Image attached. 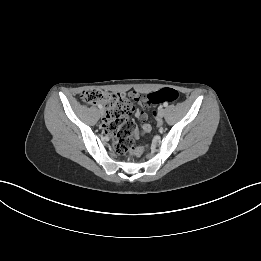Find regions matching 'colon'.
Wrapping results in <instances>:
<instances>
[{
	"label": "colon",
	"instance_id": "1",
	"mask_svg": "<svg viewBox=\"0 0 261 261\" xmlns=\"http://www.w3.org/2000/svg\"><path fill=\"white\" fill-rule=\"evenodd\" d=\"M146 97L150 103L175 102L179 98V93L172 88H164ZM82 99L87 104L104 103L106 121L103 127L113 136L115 148L119 153L137 155L143 151V149L136 147L134 143L137 129L134 122L129 119L133 105L126 97L118 93H108L91 88L83 92Z\"/></svg>",
	"mask_w": 261,
	"mask_h": 261
}]
</instances>
